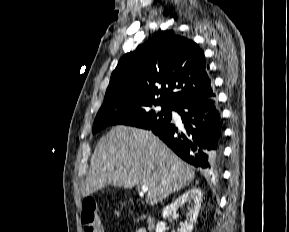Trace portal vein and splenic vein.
<instances>
[{
  "mask_svg": "<svg viewBox=\"0 0 289 232\" xmlns=\"http://www.w3.org/2000/svg\"><path fill=\"white\" fill-rule=\"evenodd\" d=\"M147 191H148V186H147V185H143V186L141 187V192L145 193V192H147Z\"/></svg>",
  "mask_w": 289,
  "mask_h": 232,
  "instance_id": "obj_1",
  "label": "portal vein and splenic vein"
}]
</instances>
